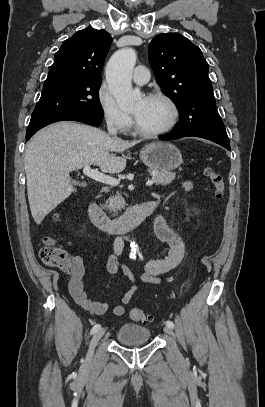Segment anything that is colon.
<instances>
[{"label": "colon", "instance_id": "1", "mask_svg": "<svg viewBox=\"0 0 265 407\" xmlns=\"http://www.w3.org/2000/svg\"><path fill=\"white\" fill-rule=\"evenodd\" d=\"M204 173L210 180L214 189V198L223 199L225 195V182L223 176L212 166H206ZM42 262L49 267L57 268L63 271H71L74 266V259L62 247L58 246L52 236H45L42 240V246L39 251ZM131 319L140 322H152L153 316L145 311L133 308L130 311Z\"/></svg>", "mask_w": 265, "mask_h": 407}]
</instances>
